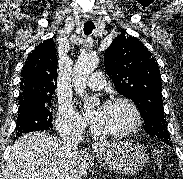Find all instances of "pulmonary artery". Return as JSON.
I'll list each match as a JSON object with an SVG mask.
<instances>
[{
  "mask_svg": "<svg viewBox=\"0 0 183 179\" xmlns=\"http://www.w3.org/2000/svg\"><path fill=\"white\" fill-rule=\"evenodd\" d=\"M105 85V77L101 72L93 73L87 80V86L93 90H100Z\"/></svg>",
  "mask_w": 183,
  "mask_h": 179,
  "instance_id": "1",
  "label": "pulmonary artery"
}]
</instances>
